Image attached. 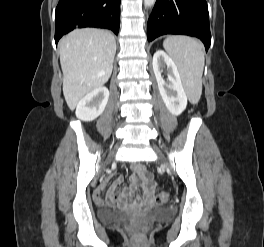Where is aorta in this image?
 <instances>
[{
    "mask_svg": "<svg viewBox=\"0 0 264 247\" xmlns=\"http://www.w3.org/2000/svg\"><path fill=\"white\" fill-rule=\"evenodd\" d=\"M155 2H156V0H144V6L146 8H150V7L154 6Z\"/></svg>",
    "mask_w": 264,
    "mask_h": 247,
    "instance_id": "1",
    "label": "aorta"
}]
</instances>
